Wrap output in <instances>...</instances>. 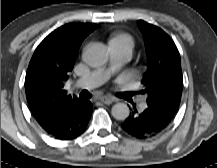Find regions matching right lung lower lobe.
<instances>
[{
    "label": "right lung lower lobe",
    "instance_id": "obj_1",
    "mask_svg": "<svg viewBox=\"0 0 217 168\" xmlns=\"http://www.w3.org/2000/svg\"><path fill=\"white\" fill-rule=\"evenodd\" d=\"M92 112L91 102L83 100L76 106L60 110L50 122L42 125V128L56 139L71 140L86 130Z\"/></svg>",
    "mask_w": 217,
    "mask_h": 168
}]
</instances>
